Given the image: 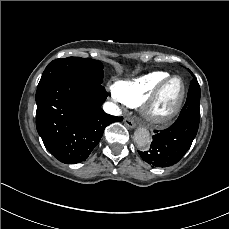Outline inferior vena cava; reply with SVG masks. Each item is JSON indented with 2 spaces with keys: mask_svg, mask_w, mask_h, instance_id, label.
<instances>
[{
  "mask_svg": "<svg viewBox=\"0 0 229 229\" xmlns=\"http://www.w3.org/2000/svg\"><path fill=\"white\" fill-rule=\"evenodd\" d=\"M103 109L106 113L112 114V115H119L120 109L117 105L113 104L112 102H105L103 105Z\"/></svg>",
  "mask_w": 229,
  "mask_h": 229,
  "instance_id": "inferior-vena-cava-1",
  "label": "inferior vena cava"
}]
</instances>
